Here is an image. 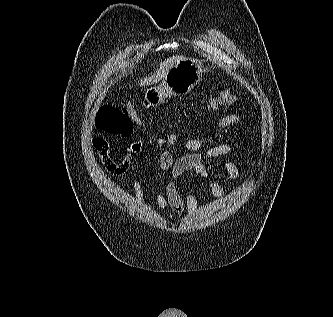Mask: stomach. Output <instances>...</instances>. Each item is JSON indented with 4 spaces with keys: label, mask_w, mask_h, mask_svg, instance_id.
<instances>
[{
    "label": "stomach",
    "mask_w": 333,
    "mask_h": 317,
    "mask_svg": "<svg viewBox=\"0 0 333 317\" xmlns=\"http://www.w3.org/2000/svg\"><path fill=\"white\" fill-rule=\"evenodd\" d=\"M203 65L195 59H185L173 66L163 82L150 87L145 92V100L149 106H159L171 95H186L200 81Z\"/></svg>",
    "instance_id": "obj_1"
}]
</instances>
